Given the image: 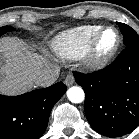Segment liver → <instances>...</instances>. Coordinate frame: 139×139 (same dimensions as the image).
Instances as JSON below:
<instances>
[{
  "instance_id": "liver-1",
  "label": "liver",
  "mask_w": 139,
  "mask_h": 139,
  "mask_svg": "<svg viewBox=\"0 0 139 139\" xmlns=\"http://www.w3.org/2000/svg\"><path fill=\"white\" fill-rule=\"evenodd\" d=\"M57 67L31 52L18 38L0 39V94L17 95L34 86L38 74Z\"/></svg>"
}]
</instances>
